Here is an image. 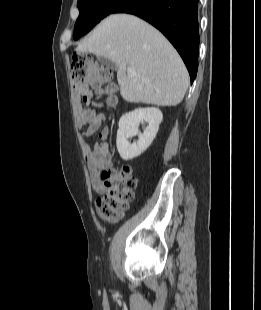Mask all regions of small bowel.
<instances>
[{
  "instance_id": "c3829d8e",
  "label": "small bowel",
  "mask_w": 261,
  "mask_h": 310,
  "mask_svg": "<svg viewBox=\"0 0 261 310\" xmlns=\"http://www.w3.org/2000/svg\"><path fill=\"white\" fill-rule=\"evenodd\" d=\"M75 96L78 100H81L85 104H91L98 106V104L92 101L93 93L86 85L77 84L74 88ZM104 121V114L97 112L95 109L84 108L80 104L77 106V123L82 129V150L87 163L90 182L93 190L96 193L105 192L106 188L101 178L103 171L112 168V158L110 153V145L107 142L109 136V128H103L99 133V139L101 141H95L91 147L86 138L96 132Z\"/></svg>"
}]
</instances>
